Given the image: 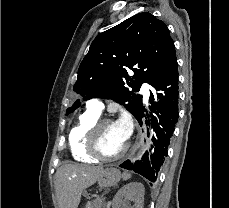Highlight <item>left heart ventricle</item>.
Returning <instances> with one entry per match:
<instances>
[{
	"instance_id": "obj_1",
	"label": "left heart ventricle",
	"mask_w": 229,
	"mask_h": 208,
	"mask_svg": "<svg viewBox=\"0 0 229 208\" xmlns=\"http://www.w3.org/2000/svg\"><path fill=\"white\" fill-rule=\"evenodd\" d=\"M101 138L97 139L98 152H103V157H114L127 143L119 133L115 123L106 124L101 128Z\"/></svg>"
}]
</instances>
